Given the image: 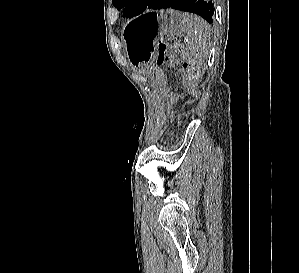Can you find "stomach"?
<instances>
[{
    "label": "stomach",
    "instance_id": "1",
    "mask_svg": "<svg viewBox=\"0 0 299 273\" xmlns=\"http://www.w3.org/2000/svg\"><path fill=\"white\" fill-rule=\"evenodd\" d=\"M180 15L174 10L150 11L130 21L124 27L122 40L125 53L130 62L139 67L142 74H164V69H154L158 66L154 61V50L157 41L173 40L181 33Z\"/></svg>",
    "mask_w": 299,
    "mask_h": 273
}]
</instances>
